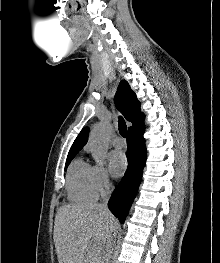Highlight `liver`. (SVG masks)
<instances>
[{
    "instance_id": "6515ba94",
    "label": "liver",
    "mask_w": 220,
    "mask_h": 263,
    "mask_svg": "<svg viewBox=\"0 0 220 263\" xmlns=\"http://www.w3.org/2000/svg\"><path fill=\"white\" fill-rule=\"evenodd\" d=\"M118 221L99 204L61 206L54 223V243L59 263H93L95 253L105 255L108 237Z\"/></svg>"
}]
</instances>
